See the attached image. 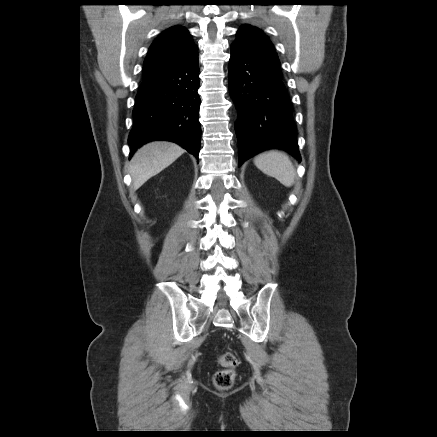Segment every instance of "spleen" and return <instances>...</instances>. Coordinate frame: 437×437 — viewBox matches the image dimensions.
I'll use <instances>...</instances> for the list:
<instances>
[{
  "label": "spleen",
  "instance_id": "obj_1",
  "mask_svg": "<svg viewBox=\"0 0 437 437\" xmlns=\"http://www.w3.org/2000/svg\"><path fill=\"white\" fill-rule=\"evenodd\" d=\"M255 166L268 176L274 177L285 187L294 184L295 168L284 152L270 150L257 155L254 158Z\"/></svg>",
  "mask_w": 437,
  "mask_h": 437
}]
</instances>
